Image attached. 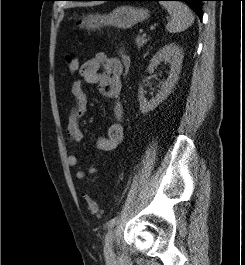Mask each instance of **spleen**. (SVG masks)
I'll return each instance as SVG.
<instances>
[{
	"mask_svg": "<svg viewBox=\"0 0 245 265\" xmlns=\"http://www.w3.org/2000/svg\"><path fill=\"white\" fill-rule=\"evenodd\" d=\"M160 4L165 7L171 15V20L166 25L170 33L181 32L187 29L194 22L192 11L187 5L177 1H163Z\"/></svg>",
	"mask_w": 245,
	"mask_h": 265,
	"instance_id": "1",
	"label": "spleen"
}]
</instances>
